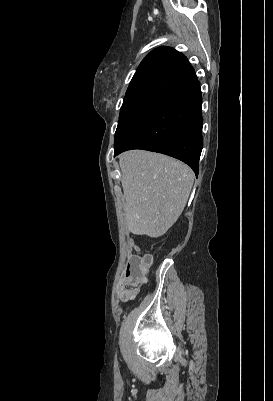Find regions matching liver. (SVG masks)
Masks as SVG:
<instances>
[{
	"label": "liver",
	"mask_w": 273,
	"mask_h": 401,
	"mask_svg": "<svg viewBox=\"0 0 273 401\" xmlns=\"http://www.w3.org/2000/svg\"><path fill=\"white\" fill-rule=\"evenodd\" d=\"M119 164L128 231L162 237L179 219L188 201L193 170L181 160L148 150L122 152Z\"/></svg>",
	"instance_id": "obj_1"
}]
</instances>
